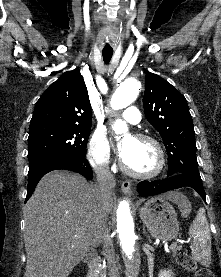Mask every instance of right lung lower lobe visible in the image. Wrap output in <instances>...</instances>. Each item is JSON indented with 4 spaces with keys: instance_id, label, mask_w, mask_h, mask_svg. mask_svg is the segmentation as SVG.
<instances>
[{
    "instance_id": "obj_1",
    "label": "right lung lower lobe",
    "mask_w": 221,
    "mask_h": 277,
    "mask_svg": "<svg viewBox=\"0 0 221 277\" xmlns=\"http://www.w3.org/2000/svg\"><path fill=\"white\" fill-rule=\"evenodd\" d=\"M70 170L77 172L83 175L88 180L93 178V172L85 157H73L67 160H63L57 163L49 164L41 167L36 172L31 175H28V187H27V197L26 201L29 199L31 194L33 193L37 183L39 180L48 172L53 170Z\"/></svg>"
}]
</instances>
